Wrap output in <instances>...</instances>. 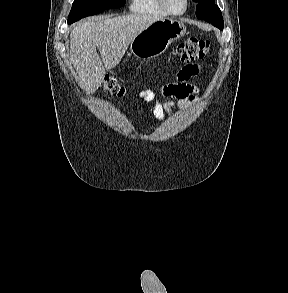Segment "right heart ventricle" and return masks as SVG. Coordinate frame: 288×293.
<instances>
[{
	"instance_id": "right-heart-ventricle-1",
	"label": "right heart ventricle",
	"mask_w": 288,
	"mask_h": 293,
	"mask_svg": "<svg viewBox=\"0 0 288 293\" xmlns=\"http://www.w3.org/2000/svg\"><path fill=\"white\" fill-rule=\"evenodd\" d=\"M130 10L138 14H153L166 16L168 13L163 10L157 0H131Z\"/></svg>"
}]
</instances>
